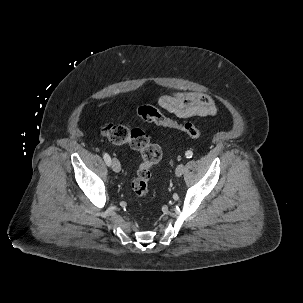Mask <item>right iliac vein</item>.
Masks as SVG:
<instances>
[{
    "label": "right iliac vein",
    "mask_w": 303,
    "mask_h": 303,
    "mask_svg": "<svg viewBox=\"0 0 303 303\" xmlns=\"http://www.w3.org/2000/svg\"><path fill=\"white\" fill-rule=\"evenodd\" d=\"M111 167H112L113 171H115V172H120V170H121L120 162L116 158L112 159Z\"/></svg>",
    "instance_id": "obj_1"
}]
</instances>
